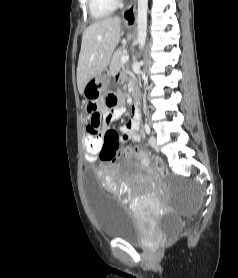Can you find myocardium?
<instances>
[{
  "label": "myocardium",
  "instance_id": "1",
  "mask_svg": "<svg viewBox=\"0 0 238 278\" xmlns=\"http://www.w3.org/2000/svg\"><path fill=\"white\" fill-rule=\"evenodd\" d=\"M116 3L118 2V1H120V0H114Z\"/></svg>",
  "mask_w": 238,
  "mask_h": 278
}]
</instances>
